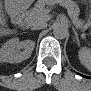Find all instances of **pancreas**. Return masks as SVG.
Masks as SVG:
<instances>
[{
	"label": "pancreas",
	"instance_id": "pancreas-1",
	"mask_svg": "<svg viewBox=\"0 0 91 91\" xmlns=\"http://www.w3.org/2000/svg\"><path fill=\"white\" fill-rule=\"evenodd\" d=\"M55 3L56 1H38L35 7L28 11V17L33 21L42 20L49 11V9L45 8V5L53 6ZM60 3L67 9L75 25L77 26V24L80 23L82 27V22L78 20V12L76 11L75 3L72 1H60ZM88 27L89 25H86L84 28L86 29Z\"/></svg>",
	"mask_w": 91,
	"mask_h": 91
}]
</instances>
